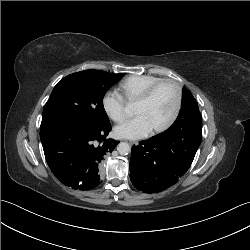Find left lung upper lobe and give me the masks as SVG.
I'll return each instance as SVG.
<instances>
[{"label": "left lung upper lobe", "mask_w": 250, "mask_h": 250, "mask_svg": "<svg viewBox=\"0 0 250 250\" xmlns=\"http://www.w3.org/2000/svg\"><path fill=\"white\" fill-rule=\"evenodd\" d=\"M185 117L194 121L202 119L196 99L187 88L183 87L181 110L176 121Z\"/></svg>", "instance_id": "1"}]
</instances>
